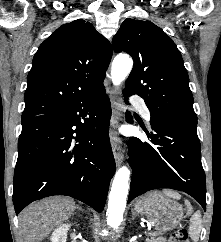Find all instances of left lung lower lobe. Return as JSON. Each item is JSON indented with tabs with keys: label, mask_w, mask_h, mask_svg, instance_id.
Returning a JSON list of instances; mask_svg holds the SVG:
<instances>
[{
	"label": "left lung lower lobe",
	"mask_w": 221,
	"mask_h": 242,
	"mask_svg": "<svg viewBox=\"0 0 221 242\" xmlns=\"http://www.w3.org/2000/svg\"><path fill=\"white\" fill-rule=\"evenodd\" d=\"M126 118L131 122L128 113ZM150 124L152 132H145L152 145L136 137L129 141L133 173L128 203L149 190L171 188L188 193L206 210V179L196 127L154 118Z\"/></svg>",
	"instance_id": "obj_1"
}]
</instances>
